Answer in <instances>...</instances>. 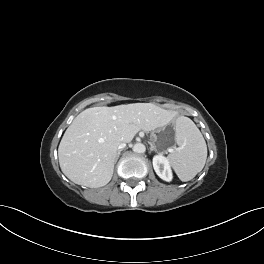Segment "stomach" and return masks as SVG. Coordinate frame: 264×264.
<instances>
[{"mask_svg":"<svg viewBox=\"0 0 264 264\" xmlns=\"http://www.w3.org/2000/svg\"><path fill=\"white\" fill-rule=\"evenodd\" d=\"M177 127L173 123H165L161 129L151 133L154 148L158 152H167L176 142Z\"/></svg>","mask_w":264,"mask_h":264,"instance_id":"obj_1","label":"stomach"}]
</instances>
